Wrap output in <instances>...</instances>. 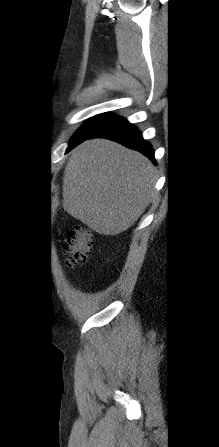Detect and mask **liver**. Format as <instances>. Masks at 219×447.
Segmentation results:
<instances>
[{
	"label": "liver",
	"instance_id": "6515ba94",
	"mask_svg": "<svg viewBox=\"0 0 219 447\" xmlns=\"http://www.w3.org/2000/svg\"><path fill=\"white\" fill-rule=\"evenodd\" d=\"M155 168L139 152L106 139L77 146L67 163L63 208L102 235H117L155 197Z\"/></svg>",
	"mask_w": 219,
	"mask_h": 447
}]
</instances>
